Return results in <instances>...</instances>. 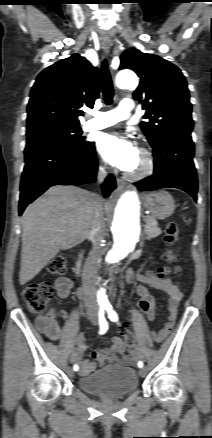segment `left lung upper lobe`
<instances>
[{"mask_svg": "<svg viewBox=\"0 0 212 438\" xmlns=\"http://www.w3.org/2000/svg\"><path fill=\"white\" fill-rule=\"evenodd\" d=\"M119 69L134 70L141 78L134 98L146 109L140 127L151 146L170 136L190 135L192 106L184 75L169 61L131 48L121 57Z\"/></svg>", "mask_w": 212, "mask_h": 438, "instance_id": "left-lung-upper-lobe-1", "label": "left lung upper lobe"}]
</instances>
